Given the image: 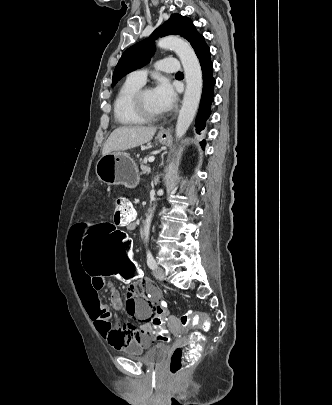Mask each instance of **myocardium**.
Instances as JSON below:
<instances>
[{
  "label": "myocardium",
  "instance_id": "myocardium-1",
  "mask_svg": "<svg viewBox=\"0 0 332 405\" xmlns=\"http://www.w3.org/2000/svg\"><path fill=\"white\" fill-rule=\"evenodd\" d=\"M151 90L150 87H141L133 96L132 99V106L135 114L143 121V122H154L159 120L162 115H153L148 112L144 104V94Z\"/></svg>",
  "mask_w": 332,
  "mask_h": 405
}]
</instances>
